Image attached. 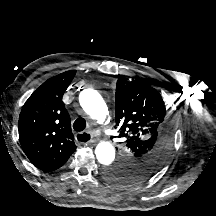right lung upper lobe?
<instances>
[{"instance_id":"1","label":"right lung upper lobe","mask_w":216,"mask_h":216,"mask_svg":"<svg viewBox=\"0 0 216 216\" xmlns=\"http://www.w3.org/2000/svg\"><path fill=\"white\" fill-rule=\"evenodd\" d=\"M75 74L76 70H70L48 79L20 113L18 130L23 151L44 172L63 166L76 150L70 117L62 102Z\"/></svg>"}]
</instances>
